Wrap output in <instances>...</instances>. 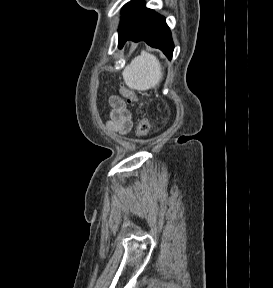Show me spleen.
I'll list each match as a JSON object with an SVG mask.
<instances>
[{
  "label": "spleen",
  "mask_w": 273,
  "mask_h": 288,
  "mask_svg": "<svg viewBox=\"0 0 273 288\" xmlns=\"http://www.w3.org/2000/svg\"><path fill=\"white\" fill-rule=\"evenodd\" d=\"M130 89L146 91L157 86L163 76L159 60L152 54L142 51L122 72Z\"/></svg>",
  "instance_id": "spleen-1"
}]
</instances>
